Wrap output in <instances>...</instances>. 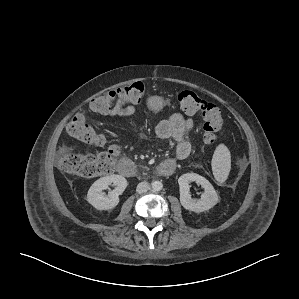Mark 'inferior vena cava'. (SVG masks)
<instances>
[{"label": "inferior vena cava", "instance_id": "inferior-vena-cava-1", "mask_svg": "<svg viewBox=\"0 0 299 299\" xmlns=\"http://www.w3.org/2000/svg\"><path fill=\"white\" fill-rule=\"evenodd\" d=\"M150 189V185L148 182L143 181L137 185L136 192L139 194L145 193Z\"/></svg>", "mask_w": 299, "mask_h": 299}]
</instances>
